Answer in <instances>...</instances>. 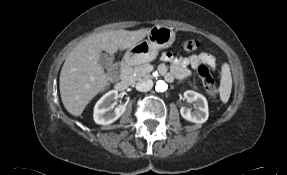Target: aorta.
I'll use <instances>...</instances> for the list:
<instances>
[{"label": "aorta", "instance_id": "obj_1", "mask_svg": "<svg viewBox=\"0 0 287 175\" xmlns=\"http://www.w3.org/2000/svg\"><path fill=\"white\" fill-rule=\"evenodd\" d=\"M168 88V85L164 81H158L155 89L157 92H165Z\"/></svg>", "mask_w": 287, "mask_h": 175}]
</instances>
